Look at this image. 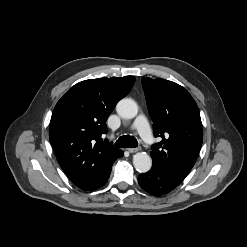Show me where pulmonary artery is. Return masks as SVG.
Returning a JSON list of instances; mask_svg holds the SVG:
<instances>
[{
    "mask_svg": "<svg viewBox=\"0 0 247 247\" xmlns=\"http://www.w3.org/2000/svg\"><path fill=\"white\" fill-rule=\"evenodd\" d=\"M133 128L138 131L142 139L149 145L154 144L155 139L153 137L151 128L145 116L140 115L136 118L133 124Z\"/></svg>",
    "mask_w": 247,
    "mask_h": 247,
    "instance_id": "e3ab8cb5",
    "label": "pulmonary artery"
}]
</instances>
